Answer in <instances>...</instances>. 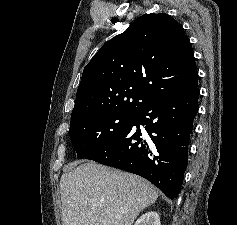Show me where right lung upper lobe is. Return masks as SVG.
<instances>
[{"instance_id": "cb5924a9", "label": "right lung upper lobe", "mask_w": 237, "mask_h": 225, "mask_svg": "<svg viewBox=\"0 0 237 225\" xmlns=\"http://www.w3.org/2000/svg\"><path fill=\"white\" fill-rule=\"evenodd\" d=\"M197 83L194 52L181 25L165 13L146 14L84 68L71 124L108 112H137L162 92Z\"/></svg>"}]
</instances>
